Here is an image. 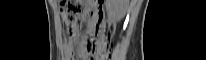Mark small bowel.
Returning a JSON list of instances; mask_svg holds the SVG:
<instances>
[{"label": "small bowel", "mask_w": 206, "mask_h": 60, "mask_svg": "<svg viewBox=\"0 0 206 60\" xmlns=\"http://www.w3.org/2000/svg\"><path fill=\"white\" fill-rule=\"evenodd\" d=\"M66 56H67L69 59H73V54H72V52H71L70 49L67 50V52H66Z\"/></svg>", "instance_id": "c3829d8e"}]
</instances>
